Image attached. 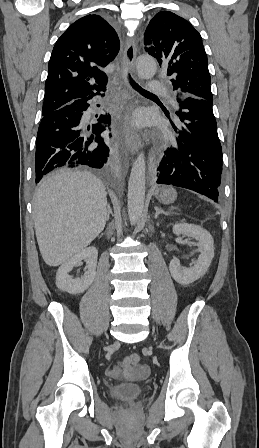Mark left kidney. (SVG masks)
I'll return each mask as SVG.
<instances>
[{"label":"left kidney","mask_w":259,"mask_h":448,"mask_svg":"<svg viewBox=\"0 0 259 448\" xmlns=\"http://www.w3.org/2000/svg\"><path fill=\"white\" fill-rule=\"evenodd\" d=\"M173 234H183V236L198 240L200 256L192 268H184L177 258H173L169 264L170 274L175 282H178L181 286H188V284H193V282L202 278L207 272L214 258V240L207 230H204L201 226H194V224H175Z\"/></svg>","instance_id":"obj_1"}]
</instances>
